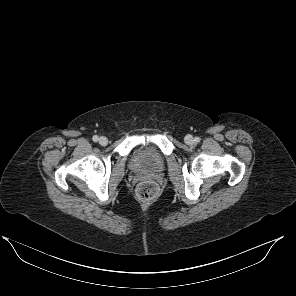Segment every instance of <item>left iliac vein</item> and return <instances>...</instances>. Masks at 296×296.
<instances>
[{
  "mask_svg": "<svg viewBox=\"0 0 296 296\" xmlns=\"http://www.w3.org/2000/svg\"><path fill=\"white\" fill-rule=\"evenodd\" d=\"M185 142L189 145L192 144L194 142L193 137L191 135H187L185 137Z\"/></svg>",
  "mask_w": 296,
  "mask_h": 296,
  "instance_id": "obj_1",
  "label": "left iliac vein"
}]
</instances>
